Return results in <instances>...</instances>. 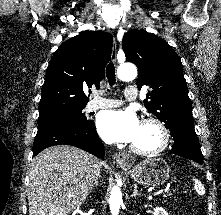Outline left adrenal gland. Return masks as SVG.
Segmentation results:
<instances>
[{
  "label": "left adrenal gland",
  "mask_w": 221,
  "mask_h": 215,
  "mask_svg": "<svg viewBox=\"0 0 221 215\" xmlns=\"http://www.w3.org/2000/svg\"><path fill=\"white\" fill-rule=\"evenodd\" d=\"M136 196H143V194L138 193V191H137V185L135 184V185H134V189H133V193H132L131 197H136Z\"/></svg>",
  "instance_id": "1"
}]
</instances>
